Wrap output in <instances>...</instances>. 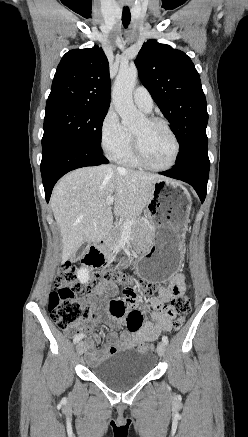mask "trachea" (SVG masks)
<instances>
[{"instance_id":"3493384b","label":"trachea","mask_w":248,"mask_h":437,"mask_svg":"<svg viewBox=\"0 0 248 437\" xmlns=\"http://www.w3.org/2000/svg\"><path fill=\"white\" fill-rule=\"evenodd\" d=\"M131 21V13L129 8H124L122 12V23L125 28H127Z\"/></svg>"}]
</instances>
